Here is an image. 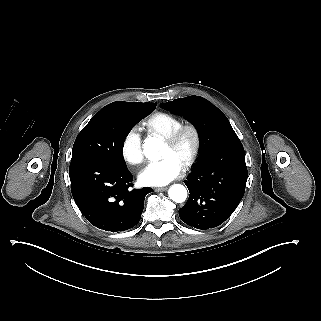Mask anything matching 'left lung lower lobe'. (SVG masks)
Listing matches in <instances>:
<instances>
[{"label":"left lung lower lobe","mask_w":321,"mask_h":321,"mask_svg":"<svg viewBox=\"0 0 321 321\" xmlns=\"http://www.w3.org/2000/svg\"><path fill=\"white\" fill-rule=\"evenodd\" d=\"M247 181L242 143L215 150L199 162L185 181L190 196L179 209L181 220L191 227L206 230L227 220L240 203Z\"/></svg>","instance_id":"1"}]
</instances>
